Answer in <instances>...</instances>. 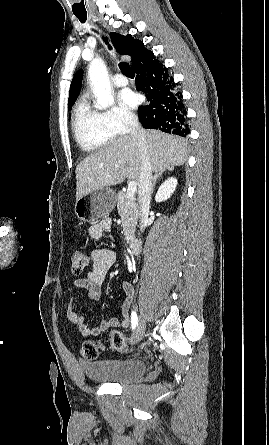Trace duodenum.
<instances>
[{"label":"duodenum","mask_w":269,"mask_h":445,"mask_svg":"<svg viewBox=\"0 0 269 445\" xmlns=\"http://www.w3.org/2000/svg\"><path fill=\"white\" fill-rule=\"evenodd\" d=\"M143 239H133L129 244L130 251L132 253H137L142 249Z\"/></svg>","instance_id":"duodenum-1"}]
</instances>
